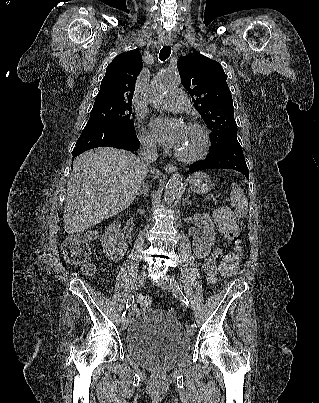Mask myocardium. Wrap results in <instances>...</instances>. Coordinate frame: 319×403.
Masks as SVG:
<instances>
[{
	"label": "myocardium",
	"instance_id": "f54148a6",
	"mask_svg": "<svg viewBox=\"0 0 319 403\" xmlns=\"http://www.w3.org/2000/svg\"><path fill=\"white\" fill-rule=\"evenodd\" d=\"M186 126L198 131V133L200 134L201 139H202L201 148L196 154L191 155V156L183 155L177 151L174 152V156L182 162H186V163L198 162V161L204 159L209 152L210 144H211L210 135H209L207 129L198 122L188 121L186 123Z\"/></svg>",
	"mask_w": 319,
	"mask_h": 403
}]
</instances>
